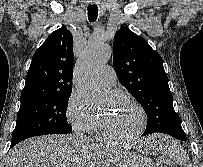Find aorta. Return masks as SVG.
<instances>
[{"mask_svg":"<svg viewBox=\"0 0 203 167\" xmlns=\"http://www.w3.org/2000/svg\"><path fill=\"white\" fill-rule=\"evenodd\" d=\"M112 55L107 43L90 42L77 60L75 66V89L88 106L101 100V93L92 82L94 72L105 65Z\"/></svg>","mask_w":203,"mask_h":167,"instance_id":"obj_1","label":"aorta"}]
</instances>
